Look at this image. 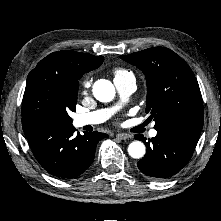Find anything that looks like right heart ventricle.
<instances>
[{
    "label": "right heart ventricle",
    "mask_w": 221,
    "mask_h": 221,
    "mask_svg": "<svg viewBox=\"0 0 221 221\" xmlns=\"http://www.w3.org/2000/svg\"><path fill=\"white\" fill-rule=\"evenodd\" d=\"M113 75H114V80H120L129 76H133V74L130 71L122 68L115 69L113 71Z\"/></svg>",
    "instance_id": "obj_1"
}]
</instances>
